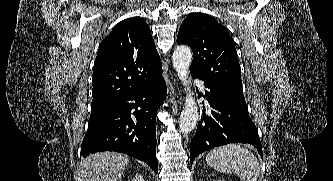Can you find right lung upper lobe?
Returning a JSON list of instances; mask_svg holds the SVG:
<instances>
[{
	"label": "right lung upper lobe",
	"instance_id": "right-lung-upper-lobe-1",
	"mask_svg": "<svg viewBox=\"0 0 333 181\" xmlns=\"http://www.w3.org/2000/svg\"><path fill=\"white\" fill-rule=\"evenodd\" d=\"M161 77V61L148 25L140 18L126 19L99 46L92 76L91 112Z\"/></svg>",
	"mask_w": 333,
	"mask_h": 181
}]
</instances>
